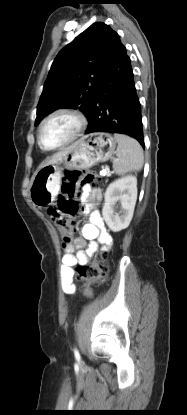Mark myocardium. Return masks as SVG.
<instances>
[{
	"mask_svg": "<svg viewBox=\"0 0 187 415\" xmlns=\"http://www.w3.org/2000/svg\"><path fill=\"white\" fill-rule=\"evenodd\" d=\"M58 115H68L72 118H74L76 120V129L73 132L72 136L67 139L65 142H63L62 144L58 145V146H54V147H47L44 145L43 141H42V130L44 125L52 118L58 116ZM87 125V120L85 118V116L78 110L73 109V108H68V107H61V108H57L54 109L53 111H51L50 113H48L40 122L39 126H38V131H37V141L38 144L41 148H43L44 150L47 151H55V150H59L61 148H64L68 145H70L71 143H73L84 131V129L86 128Z\"/></svg>",
	"mask_w": 187,
	"mask_h": 415,
	"instance_id": "f54148a6",
	"label": "myocardium"
}]
</instances>
